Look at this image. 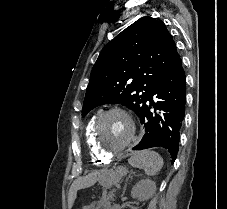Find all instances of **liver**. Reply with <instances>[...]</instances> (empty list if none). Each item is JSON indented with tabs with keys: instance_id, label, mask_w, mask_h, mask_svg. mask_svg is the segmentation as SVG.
<instances>
[{
	"instance_id": "obj_1",
	"label": "liver",
	"mask_w": 227,
	"mask_h": 209,
	"mask_svg": "<svg viewBox=\"0 0 227 209\" xmlns=\"http://www.w3.org/2000/svg\"><path fill=\"white\" fill-rule=\"evenodd\" d=\"M74 185H76V181H74L73 185H71L70 191L68 193V209H72V205L76 199V193H73Z\"/></svg>"
}]
</instances>
